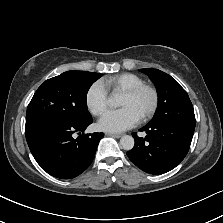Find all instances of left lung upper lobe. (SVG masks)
<instances>
[{"label":"left lung upper lobe","instance_id":"obj_1","mask_svg":"<svg viewBox=\"0 0 223 223\" xmlns=\"http://www.w3.org/2000/svg\"><path fill=\"white\" fill-rule=\"evenodd\" d=\"M154 83L158 108L148 124L175 123L195 127L194 109L186 91L170 75L154 68L140 69Z\"/></svg>","mask_w":223,"mask_h":223}]
</instances>
